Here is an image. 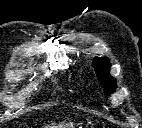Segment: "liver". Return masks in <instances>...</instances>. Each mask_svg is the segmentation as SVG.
I'll return each instance as SVG.
<instances>
[{"mask_svg":"<svg viewBox=\"0 0 142 128\" xmlns=\"http://www.w3.org/2000/svg\"><path fill=\"white\" fill-rule=\"evenodd\" d=\"M63 126H65L64 128H73V123H70L68 125H63Z\"/></svg>","mask_w":142,"mask_h":128,"instance_id":"obj_1","label":"liver"}]
</instances>
